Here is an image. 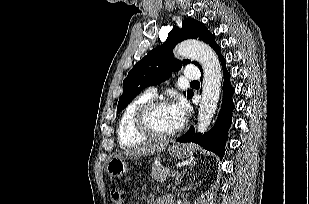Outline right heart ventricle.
Returning <instances> with one entry per match:
<instances>
[{
	"instance_id": "right-heart-ventricle-1",
	"label": "right heart ventricle",
	"mask_w": 309,
	"mask_h": 204,
	"mask_svg": "<svg viewBox=\"0 0 309 204\" xmlns=\"http://www.w3.org/2000/svg\"><path fill=\"white\" fill-rule=\"evenodd\" d=\"M153 99L148 92L136 96L126 106L118 124V139L122 147H131L142 144L146 138L141 136L134 127V117L137 110L147 101Z\"/></svg>"
}]
</instances>
